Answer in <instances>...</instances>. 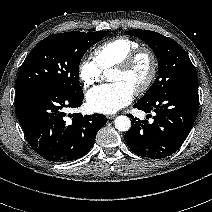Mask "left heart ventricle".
I'll list each match as a JSON object with an SVG mask.
<instances>
[{
    "label": "left heart ventricle",
    "instance_id": "left-heart-ventricle-1",
    "mask_svg": "<svg viewBox=\"0 0 212 212\" xmlns=\"http://www.w3.org/2000/svg\"><path fill=\"white\" fill-rule=\"evenodd\" d=\"M149 70V63L146 58L138 61L136 66L129 72H123L117 69L111 71L109 80L111 82H123L135 89L146 78Z\"/></svg>",
    "mask_w": 212,
    "mask_h": 212
}]
</instances>
